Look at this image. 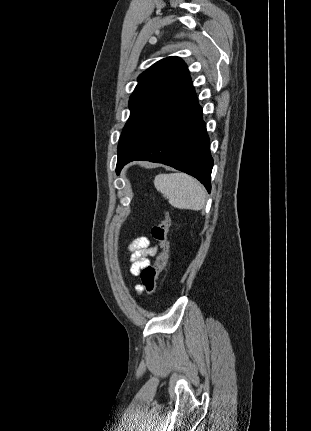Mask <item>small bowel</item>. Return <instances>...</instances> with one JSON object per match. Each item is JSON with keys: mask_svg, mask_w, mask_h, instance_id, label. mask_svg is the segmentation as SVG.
<instances>
[{"mask_svg": "<svg viewBox=\"0 0 311 431\" xmlns=\"http://www.w3.org/2000/svg\"><path fill=\"white\" fill-rule=\"evenodd\" d=\"M129 251L131 252L130 272L133 275L138 276L142 270L150 264L149 258L156 254L157 248L150 246L148 238L140 237L130 244ZM136 290L138 293H141L143 291V287L141 285H137Z\"/></svg>", "mask_w": 311, "mask_h": 431, "instance_id": "c3829d8e", "label": "small bowel"}]
</instances>
